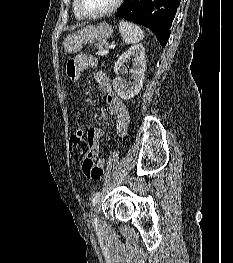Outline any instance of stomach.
I'll list each match as a JSON object with an SVG mask.
<instances>
[{
    "mask_svg": "<svg viewBox=\"0 0 233 263\" xmlns=\"http://www.w3.org/2000/svg\"><path fill=\"white\" fill-rule=\"evenodd\" d=\"M113 33L114 28L108 23L89 25L68 35L63 41V48L66 53H76L83 45L106 41Z\"/></svg>",
    "mask_w": 233,
    "mask_h": 263,
    "instance_id": "0dacf381",
    "label": "stomach"
}]
</instances>
